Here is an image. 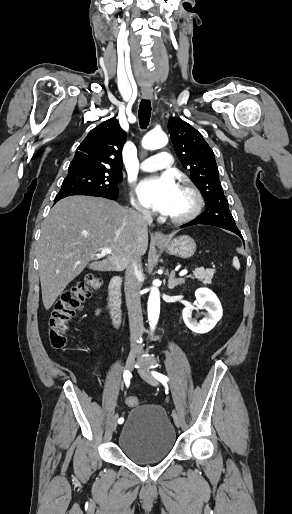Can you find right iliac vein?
Instances as JSON below:
<instances>
[{"mask_svg": "<svg viewBox=\"0 0 292 514\" xmlns=\"http://www.w3.org/2000/svg\"><path fill=\"white\" fill-rule=\"evenodd\" d=\"M126 369L128 371H132L134 366H135V357L134 356H130L128 357L127 361H126ZM117 418H118V415H115L112 419V423H111V428L112 430L114 431L117 427Z\"/></svg>", "mask_w": 292, "mask_h": 514, "instance_id": "1", "label": "right iliac vein"}]
</instances>
